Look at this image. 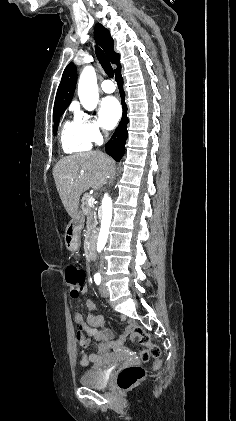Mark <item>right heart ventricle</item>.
<instances>
[{
    "instance_id": "obj_1",
    "label": "right heart ventricle",
    "mask_w": 236,
    "mask_h": 421,
    "mask_svg": "<svg viewBox=\"0 0 236 421\" xmlns=\"http://www.w3.org/2000/svg\"><path fill=\"white\" fill-rule=\"evenodd\" d=\"M61 144L67 154L84 153L92 148V142L75 120L64 122L61 129Z\"/></svg>"
}]
</instances>
